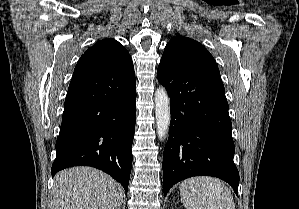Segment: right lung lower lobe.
I'll use <instances>...</instances> for the list:
<instances>
[{"instance_id":"obj_1","label":"right lung lower lobe","mask_w":299,"mask_h":209,"mask_svg":"<svg viewBox=\"0 0 299 209\" xmlns=\"http://www.w3.org/2000/svg\"><path fill=\"white\" fill-rule=\"evenodd\" d=\"M135 75L115 72L72 77L51 173L72 166L98 168L127 192L136 121Z\"/></svg>"}]
</instances>
